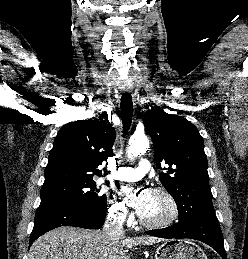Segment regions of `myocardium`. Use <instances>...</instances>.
<instances>
[{
	"label": "myocardium",
	"mask_w": 248,
	"mask_h": 259,
	"mask_svg": "<svg viewBox=\"0 0 248 259\" xmlns=\"http://www.w3.org/2000/svg\"><path fill=\"white\" fill-rule=\"evenodd\" d=\"M153 193L162 196L168 202L170 208L169 214L164 219L154 222L147 221L141 216L139 219L140 224L151 229H160L172 225L178 219L180 214L179 205L176 199L169 191L163 188H155L153 189Z\"/></svg>",
	"instance_id": "obj_1"
}]
</instances>
